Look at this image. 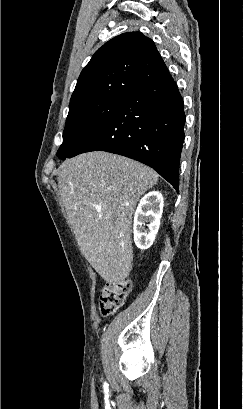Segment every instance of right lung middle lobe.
<instances>
[{
	"instance_id": "dd1d6c3e",
	"label": "right lung middle lobe",
	"mask_w": 243,
	"mask_h": 409,
	"mask_svg": "<svg viewBox=\"0 0 243 409\" xmlns=\"http://www.w3.org/2000/svg\"><path fill=\"white\" fill-rule=\"evenodd\" d=\"M126 98H100L69 105L63 143L57 151L60 159L100 130L117 112Z\"/></svg>"
}]
</instances>
